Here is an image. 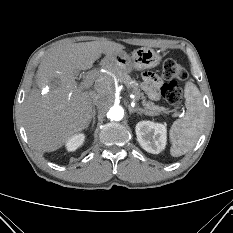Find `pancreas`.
<instances>
[{
  "label": "pancreas",
  "mask_w": 233,
  "mask_h": 233,
  "mask_svg": "<svg viewBox=\"0 0 233 233\" xmlns=\"http://www.w3.org/2000/svg\"><path fill=\"white\" fill-rule=\"evenodd\" d=\"M113 71L115 72L118 81L124 83L129 91L135 95L136 100L142 99V105L145 107V111L148 115H159L167 113L166 108L156 105L152 101H147L139 88V84L127 73H124L122 70L117 68H114Z\"/></svg>",
  "instance_id": "pancreas-1"
}]
</instances>
